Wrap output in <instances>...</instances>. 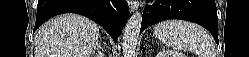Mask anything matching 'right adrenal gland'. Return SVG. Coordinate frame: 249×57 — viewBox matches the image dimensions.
<instances>
[{
    "instance_id": "obj_1",
    "label": "right adrenal gland",
    "mask_w": 249,
    "mask_h": 57,
    "mask_svg": "<svg viewBox=\"0 0 249 57\" xmlns=\"http://www.w3.org/2000/svg\"><path fill=\"white\" fill-rule=\"evenodd\" d=\"M103 51L105 52V50H103V48H101V41H98L97 46L94 49L93 53L97 57H103L104 56Z\"/></svg>"
}]
</instances>
